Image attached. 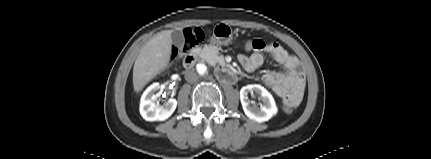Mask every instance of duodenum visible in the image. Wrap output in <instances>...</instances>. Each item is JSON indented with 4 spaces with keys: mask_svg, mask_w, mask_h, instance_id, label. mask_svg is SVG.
<instances>
[{
    "mask_svg": "<svg viewBox=\"0 0 431 159\" xmlns=\"http://www.w3.org/2000/svg\"><path fill=\"white\" fill-rule=\"evenodd\" d=\"M196 61L197 54L195 52H192L185 56L183 60V65L186 69H190L194 66ZM218 78L221 82L230 84L236 81L237 74L232 68L226 65H220L218 68Z\"/></svg>",
    "mask_w": 431,
    "mask_h": 159,
    "instance_id": "410a0bca",
    "label": "duodenum"
}]
</instances>
